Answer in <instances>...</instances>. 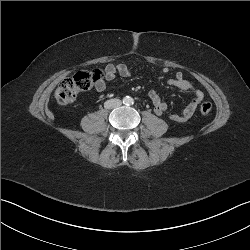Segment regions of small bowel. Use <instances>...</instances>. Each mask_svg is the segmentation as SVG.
<instances>
[{
    "instance_id": "obj_1",
    "label": "small bowel",
    "mask_w": 250,
    "mask_h": 250,
    "mask_svg": "<svg viewBox=\"0 0 250 250\" xmlns=\"http://www.w3.org/2000/svg\"><path fill=\"white\" fill-rule=\"evenodd\" d=\"M169 72L168 68L161 69L158 73L154 75L157 77L159 75H163ZM131 69L125 64H108L104 68L103 78L98 81L95 85V90L98 93H103L106 88V82L113 81L116 75L121 77H129L131 76ZM167 85L178 88L182 91L191 92L193 95L192 100L188 103V105L184 108L181 114H172L169 116V119L176 123H186L188 122L194 113L196 112L198 106L204 99V93L201 89L194 86L189 80H187L182 72H177L172 78H169L166 81ZM148 96L153 105L154 112L161 116L167 110V104L161 99L156 90L150 89L148 92Z\"/></svg>"
}]
</instances>
